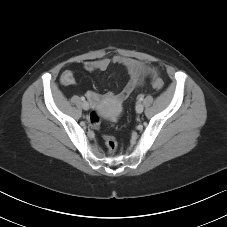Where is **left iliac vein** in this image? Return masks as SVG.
I'll list each match as a JSON object with an SVG mask.
<instances>
[{"instance_id": "obj_1", "label": "left iliac vein", "mask_w": 227, "mask_h": 227, "mask_svg": "<svg viewBox=\"0 0 227 227\" xmlns=\"http://www.w3.org/2000/svg\"><path fill=\"white\" fill-rule=\"evenodd\" d=\"M143 110H144L143 105H142L141 103H138V104L136 105V112H137V113H142Z\"/></svg>"}]
</instances>
